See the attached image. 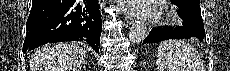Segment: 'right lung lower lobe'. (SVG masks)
I'll return each mask as SVG.
<instances>
[{"mask_svg":"<svg viewBox=\"0 0 230 71\" xmlns=\"http://www.w3.org/2000/svg\"><path fill=\"white\" fill-rule=\"evenodd\" d=\"M23 52L48 42L86 41L97 53L102 19L97 0H33Z\"/></svg>","mask_w":230,"mask_h":71,"instance_id":"98d812e1","label":"right lung lower lobe"}]
</instances>
